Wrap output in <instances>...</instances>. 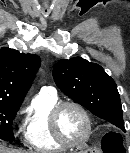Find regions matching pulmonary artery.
Segmentation results:
<instances>
[{
    "label": "pulmonary artery",
    "mask_w": 130,
    "mask_h": 153,
    "mask_svg": "<svg viewBox=\"0 0 130 153\" xmlns=\"http://www.w3.org/2000/svg\"><path fill=\"white\" fill-rule=\"evenodd\" d=\"M40 92H51V93H56L55 89L51 86H44L41 88Z\"/></svg>",
    "instance_id": "1"
}]
</instances>
